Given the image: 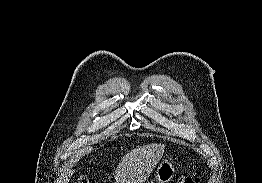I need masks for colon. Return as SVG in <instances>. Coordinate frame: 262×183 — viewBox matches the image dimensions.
<instances>
[{"label":"colon","mask_w":262,"mask_h":183,"mask_svg":"<svg viewBox=\"0 0 262 183\" xmlns=\"http://www.w3.org/2000/svg\"><path fill=\"white\" fill-rule=\"evenodd\" d=\"M198 178H190V177H183L180 180V183H199ZM78 183H95L93 180L89 178H80Z\"/></svg>","instance_id":"obj_1"}]
</instances>
